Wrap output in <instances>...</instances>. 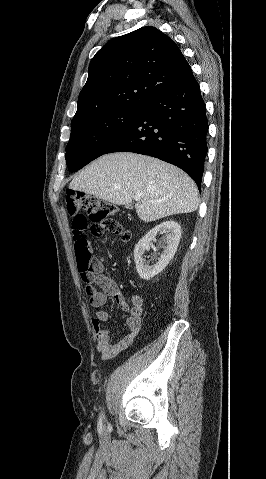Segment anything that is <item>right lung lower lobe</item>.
<instances>
[{"label":"right lung lower lobe","instance_id":"obj_1","mask_svg":"<svg viewBox=\"0 0 266 479\" xmlns=\"http://www.w3.org/2000/svg\"><path fill=\"white\" fill-rule=\"evenodd\" d=\"M205 103L191 77L154 97L104 152H134L178 166L201 189L207 147Z\"/></svg>","mask_w":266,"mask_h":479}]
</instances>
